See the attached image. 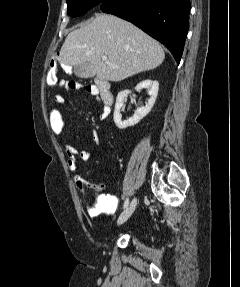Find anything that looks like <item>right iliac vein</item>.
<instances>
[{
	"mask_svg": "<svg viewBox=\"0 0 240 287\" xmlns=\"http://www.w3.org/2000/svg\"><path fill=\"white\" fill-rule=\"evenodd\" d=\"M137 205V198H134L128 207L122 212L119 216L117 224L121 225L128 220V218L132 215Z\"/></svg>",
	"mask_w": 240,
	"mask_h": 287,
	"instance_id": "1",
	"label": "right iliac vein"
}]
</instances>
